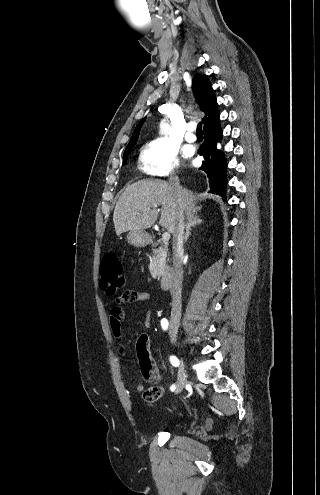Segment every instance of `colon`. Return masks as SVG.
<instances>
[{
	"label": "colon",
	"mask_w": 320,
	"mask_h": 495,
	"mask_svg": "<svg viewBox=\"0 0 320 495\" xmlns=\"http://www.w3.org/2000/svg\"><path fill=\"white\" fill-rule=\"evenodd\" d=\"M100 286L107 293L113 294L120 286L123 285L125 278L121 262L116 254H106L100 264ZM137 354L140 363L145 367H150L152 361L148 351V341L145 336L140 337L137 342ZM153 386L143 392V400L147 403L157 401L162 395V389L157 385L159 376H154L151 381Z\"/></svg>",
	"instance_id": "obj_1"
}]
</instances>
